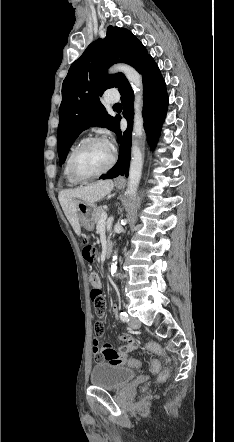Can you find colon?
<instances>
[{
  "instance_id": "5ec220e1",
  "label": "colon",
  "mask_w": 234,
  "mask_h": 442,
  "mask_svg": "<svg viewBox=\"0 0 234 442\" xmlns=\"http://www.w3.org/2000/svg\"><path fill=\"white\" fill-rule=\"evenodd\" d=\"M82 253H83V257H84V259L86 261H88V262H94L95 261V259H96V249L91 244H85L84 247H83ZM98 281H99V276L96 273H92L90 275V284L92 286L91 300H92V304H93V307H94V310H95L96 314L101 317V316L104 315L105 310H106V301H105V298L102 295L101 290L96 288V285H97ZM133 342H135V340ZM147 348L150 351L156 353L157 355H159V356H161L163 358L166 357L165 350L157 343H154V342L149 343L147 345ZM130 362H132V364L128 365V368H131L132 370H135L137 368L138 363H139V358L138 357H133L132 359H130ZM148 362H149V369H150V371L152 373H157L160 370V363H159L158 357H156V356L150 357L148 359ZM168 375H169V371L168 370H165V371H163V373L161 375H158V377H157L158 384H167V382H168V377L167 376Z\"/></svg>"
}]
</instances>
